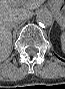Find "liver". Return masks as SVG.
<instances>
[{"label":"liver","instance_id":"1","mask_svg":"<svg viewBox=\"0 0 65 89\" xmlns=\"http://www.w3.org/2000/svg\"><path fill=\"white\" fill-rule=\"evenodd\" d=\"M43 3L42 0H1L0 1V57L6 58L12 45L13 21L28 17L32 10Z\"/></svg>","mask_w":65,"mask_h":89}]
</instances>
